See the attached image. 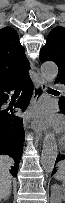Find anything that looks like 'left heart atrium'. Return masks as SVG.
Returning a JSON list of instances; mask_svg holds the SVG:
<instances>
[{"mask_svg": "<svg viewBox=\"0 0 65 203\" xmlns=\"http://www.w3.org/2000/svg\"><path fill=\"white\" fill-rule=\"evenodd\" d=\"M31 115L35 122L40 126L49 125L58 129L61 125L60 120L53 118L49 113L48 109L45 107L36 108Z\"/></svg>", "mask_w": 65, "mask_h": 203, "instance_id": "obj_1", "label": "left heart atrium"}]
</instances>
